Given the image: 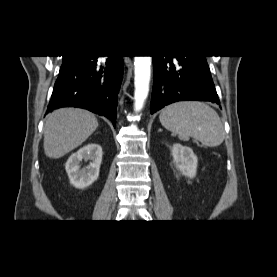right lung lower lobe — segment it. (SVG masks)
I'll return each mask as SVG.
<instances>
[{"mask_svg": "<svg viewBox=\"0 0 277 277\" xmlns=\"http://www.w3.org/2000/svg\"><path fill=\"white\" fill-rule=\"evenodd\" d=\"M99 57L76 56L60 69L47 113L60 107L84 108L107 117L115 127L123 58Z\"/></svg>", "mask_w": 277, "mask_h": 277, "instance_id": "1", "label": "right lung lower lobe"}]
</instances>
